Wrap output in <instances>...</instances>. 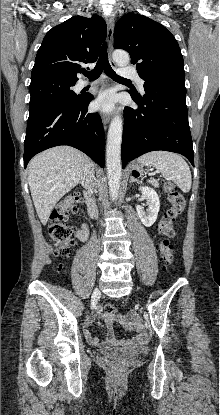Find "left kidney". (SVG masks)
<instances>
[{
  "instance_id": "left-kidney-1",
  "label": "left kidney",
  "mask_w": 220,
  "mask_h": 415,
  "mask_svg": "<svg viewBox=\"0 0 220 415\" xmlns=\"http://www.w3.org/2000/svg\"><path fill=\"white\" fill-rule=\"evenodd\" d=\"M140 190H141L143 198H145L147 201L148 209L145 212L142 206H137L136 211L141 222L146 227H150L154 224L158 216V212L160 209L159 197L156 191L150 187L143 186V187H140Z\"/></svg>"
}]
</instances>
